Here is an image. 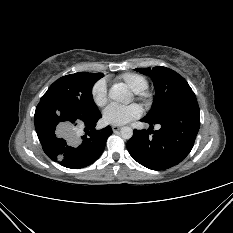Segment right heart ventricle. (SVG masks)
<instances>
[{"mask_svg": "<svg viewBox=\"0 0 233 233\" xmlns=\"http://www.w3.org/2000/svg\"><path fill=\"white\" fill-rule=\"evenodd\" d=\"M117 80L124 82L134 92L145 90L148 86L146 77L138 73H123L117 77Z\"/></svg>", "mask_w": 233, "mask_h": 233, "instance_id": "1", "label": "right heart ventricle"}]
</instances>
